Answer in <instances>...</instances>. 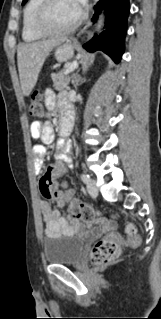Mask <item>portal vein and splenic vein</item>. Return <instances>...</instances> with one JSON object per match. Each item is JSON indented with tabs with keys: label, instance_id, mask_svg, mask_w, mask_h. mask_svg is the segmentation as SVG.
Instances as JSON below:
<instances>
[{
	"label": "portal vein and splenic vein",
	"instance_id": "18ae733b",
	"mask_svg": "<svg viewBox=\"0 0 161 319\" xmlns=\"http://www.w3.org/2000/svg\"><path fill=\"white\" fill-rule=\"evenodd\" d=\"M76 67H77V62L74 61L71 65L67 67V69L65 70V74L72 72Z\"/></svg>",
	"mask_w": 161,
	"mask_h": 319
}]
</instances>
